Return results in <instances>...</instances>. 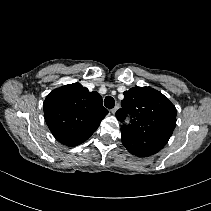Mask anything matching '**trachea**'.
I'll return each instance as SVG.
<instances>
[{"label":"trachea","instance_id":"3493384b","mask_svg":"<svg viewBox=\"0 0 211 211\" xmlns=\"http://www.w3.org/2000/svg\"><path fill=\"white\" fill-rule=\"evenodd\" d=\"M104 106L108 109H112L115 106V100L111 96H106L104 100Z\"/></svg>","mask_w":211,"mask_h":211}]
</instances>
